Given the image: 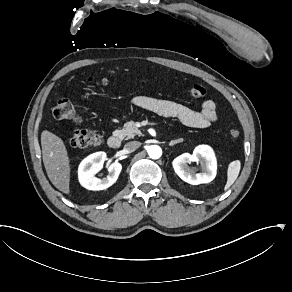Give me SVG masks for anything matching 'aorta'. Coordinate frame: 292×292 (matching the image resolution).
Segmentation results:
<instances>
[{
	"label": "aorta",
	"mask_w": 292,
	"mask_h": 292,
	"mask_svg": "<svg viewBox=\"0 0 292 292\" xmlns=\"http://www.w3.org/2000/svg\"><path fill=\"white\" fill-rule=\"evenodd\" d=\"M148 154L152 159H158L162 155V149L157 145H151L148 148Z\"/></svg>",
	"instance_id": "obj_1"
}]
</instances>
